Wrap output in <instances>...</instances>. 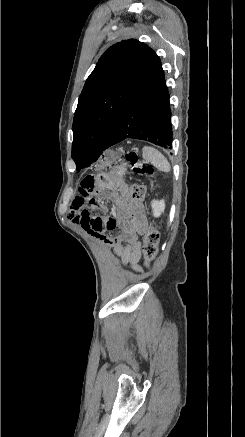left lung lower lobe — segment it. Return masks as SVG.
I'll return each instance as SVG.
<instances>
[{
    "label": "left lung lower lobe",
    "mask_w": 245,
    "mask_h": 437,
    "mask_svg": "<svg viewBox=\"0 0 245 437\" xmlns=\"http://www.w3.org/2000/svg\"><path fill=\"white\" fill-rule=\"evenodd\" d=\"M126 138L172 148L169 92L159 57L120 112L104 150Z\"/></svg>",
    "instance_id": "left-lung-lower-lobe-1"
}]
</instances>
